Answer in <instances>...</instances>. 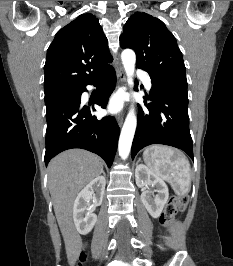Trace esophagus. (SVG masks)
Wrapping results in <instances>:
<instances>
[{
  "mask_svg": "<svg viewBox=\"0 0 233 266\" xmlns=\"http://www.w3.org/2000/svg\"><path fill=\"white\" fill-rule=\"evenodd\" d=\"M117 74V81H118V86H123L125 84V74L124 70L122 67L118 68L116 71ZM124 121V115L122 113L117 115V122L118 125L121 126Z\"/></svg>",
  "mask_w": 233,
  "mask_h": 266,
  "instance_id": "esophagus-1",
  "label": "esophagus"
}]
</instances>
